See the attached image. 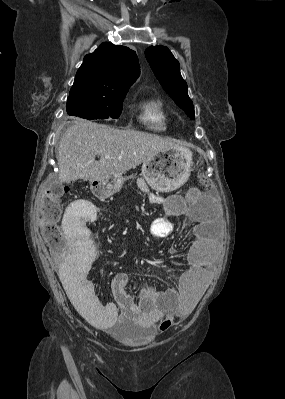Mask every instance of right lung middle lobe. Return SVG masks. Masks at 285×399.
<instances>
[{
  "label": "right lung middle lobe",
  "instance_id": "1",
  "mask_svg": "<svg viewBox=\"0 0 285 399\" xmlns=\"http://www.w3.org/2000/svg\"><path fill=\"white\" fill-rule=\"evenodd\" d=\"M127 91L111 96L73 95L67 100V113L88 120L118 118Z\"/></svg>",
  "mask_w": 285,
  "mask_h": 399
}]
</instances>
